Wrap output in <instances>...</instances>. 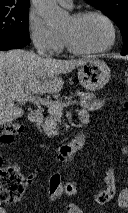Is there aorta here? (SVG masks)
<instances>
[{
  "label": "aorta",
  "mask_w": 128,
  "mask_h": 213,
  "mask_svg": "<svg viewBox=\"0 0 128 213\" xmlns=\"http://www.w3.org/2000/svg\"><path fill=\"white\" fill-rule=\"evenodd\" d=\"M33 2L49 26L58 27L66 20L67 13L57 6L56 0H33Z\"/></svg>",
  "instance_id": "obj_1"
}]
</instances>
